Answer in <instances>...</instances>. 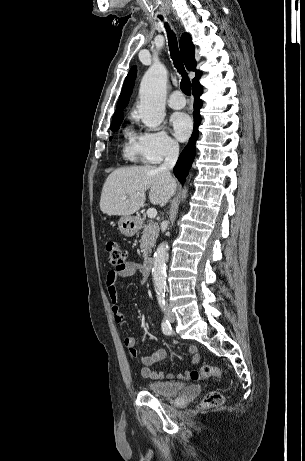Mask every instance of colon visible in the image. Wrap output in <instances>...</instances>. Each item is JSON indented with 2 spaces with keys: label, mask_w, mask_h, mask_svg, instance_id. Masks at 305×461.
Masks as SVG:
<instances>
[{
  "label": "colon",
  "mask_w": 305,
  "mask_h": 461,
  "mask_svg": "<svg viewBox=\"0 0 305 461\" xmlns=\"http://www.w3.org/2000/svg\"><path fill=\"white\" fill-rule=\"evenodd\" d=\"M106 254L110 265L117 271L123 270L127 264L126 251L116 242L106 244ZM220 371L217 367L204 365L199 369L192 370L189 378L193 381L210 377H219ZM224 397L219 391L208 392L199 404V408L208 409L219 407L223 404Z\"/></svg>",
  "instance_id": "5ec220e1"
}]
</instances>
